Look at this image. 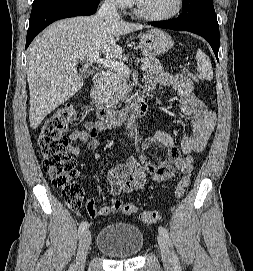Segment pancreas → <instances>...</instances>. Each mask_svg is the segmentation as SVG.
Listing matches in <instances>:
<instances>
[{"label": "pancreas", "mask_w": 253, "mask_h": 271, "mask_svg": "<svg viewBox=\"0 0 253 271\" xmlns=\"http://www.w3.org/2000/svg\"><path fill=\"white\" fill-rule=\"evenodd\" d=\"M143 56L142 62L147 65L150 71L164 72L163 66L154 55L144 51ZM127 92L126 76H122L115 71L108 72L99 85L96 101L104 107H113L119 100L126 97Z\"/></svg>", "instance_id": "cf45deb5"}]
</instances>
